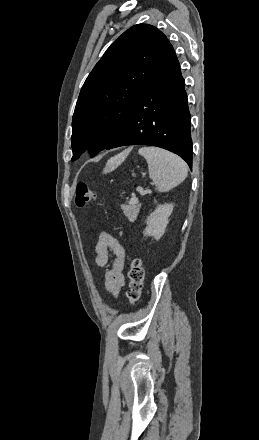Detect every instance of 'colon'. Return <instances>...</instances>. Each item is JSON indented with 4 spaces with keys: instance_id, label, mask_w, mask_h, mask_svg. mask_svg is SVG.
Listing matches in <instances>:
<instances>
[{
    "instance_id": "5ec220e1",
    "label": "colon",
    "mask_w": 259,
    "mask_h": 440,
    "mask_svg": "<svg viewBox=\"0 0 259 440\" xmlns=\"http://www.w3.org/2000/svg\"><path fill=\"white\" fill-rule=\"evenodd\" d=\"M97 196L87 184L78 183L75 188V203L78 207H84L89 202L95 201ZM144 268L139 258L132 259L128 272L129 289L127 291V299L129 303H136L140 296L144 283Z\"/></svg>"
}]
</instances>
